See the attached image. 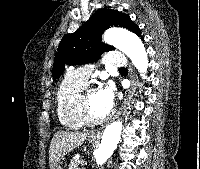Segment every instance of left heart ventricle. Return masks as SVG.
<instances>
[{"mask_svg":"<svg viewBox=\"0 0 200 169\" xmlns=\"http://www.w3.org/2000/svg\"><path fill=\"white\" fill-rule=\"evenodd\" d=\"M86 99L90 114L94 119L102 118L108 113V110L101 101L98 91L91 92L87 95Z\"/></svg>","mask_w":200,"mask_h":169,"instance_id":"obj_1","label":"left heart ventricle"}]
</instances>
